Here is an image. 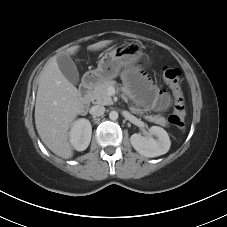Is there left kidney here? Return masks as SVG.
<instances>
[{
	"mask_svg": "<svg viewBox=\"0 0 227 227\" xmlns=\"http://www.w3.org/2000/svg\"><path fill=\"white\" fill-rule=\"evenodd\" d=\"M152 136H156L154 139ZM133 148L145 157H157L167 153L170 149V138L168 133L159 126H152L149 129V136L133 134L130 137Z\"/></svg>",
	"mask_w": 227,
	"mask_h": 227,
	"instance_id": "obj_1",
	"label": "left kidney"
}]
</instances>
